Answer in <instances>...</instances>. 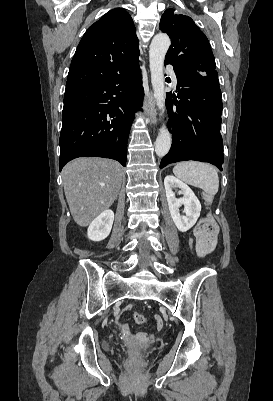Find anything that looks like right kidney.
<instances>
[{"label":"right kidney","instance_id":"right-kidney-1","mask_svg":"<svg viewBox=\"0 0 273 401\" xmlns=\"http://www.w3.org/2000/svg\"><path fill=\"white\" fill-rule=\"evenodd\" d=\"M114 221V213L111 209L103 211L99 217H96L88 227L87 237L91 241H103L108 237Z\"/></svg>","mask_w":273,"mask_h":401}]
</instances>
